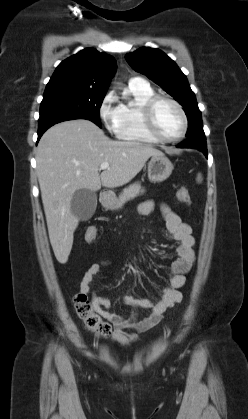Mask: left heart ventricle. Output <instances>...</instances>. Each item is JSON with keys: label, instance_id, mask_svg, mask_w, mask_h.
I'll return each mask as SVG.
<instances>
[{"label": "left heart ventricle", "instance_id": "1", "mask_svg": "<svg viewBox=\"0 0 248 419\" xmlns=\"http://www.w3.org/2000/svg\"><path fill=\"white\" fill-rule=\"evenodd\" d=\"M157 132L166 138L177 136L182 130V119L178 110L169 102H159L153 113Z\"/></svg>", "mask_w": 248, "mask_h": 419}]
</instances>
